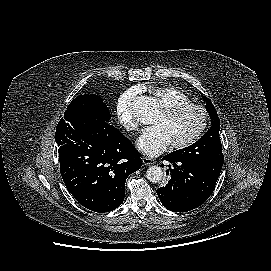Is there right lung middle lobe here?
<instances>
[{"label":"right lung middle lobe","instance_id":"1","mask_svg":"<svg viewBox=\"0 0 271 271\" xmlns=\"http://www.w3.org/2000/svg\"><path fill=\"white\" fill-rule=\"evenodd\" d=\"M63 119L86 123L109 122L110 114L101 97L94 94H84L69 104Z\"/></svg>","mask_w":271,"mask_h":271}]
</instances>
